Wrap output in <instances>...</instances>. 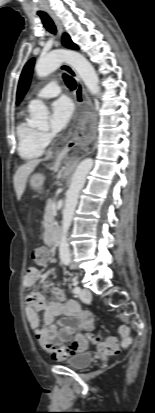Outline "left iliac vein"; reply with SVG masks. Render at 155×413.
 <instances>
[{"label":"left iliac vein","mask_w":155,"mask_h":413,"mask_svg":"<svg viewBox=\"0 0 155 413\" xmlns=\"http://www.w3.org/2000/svg\"><path fill=\"white\" fill-rule=\"evenodd\" d=\"M91 292L90 290L83 288L80 293H79V298L83 301V302H88L91 300Z\"/></svg>","instance_id":"4c4485c4"}]
</instances>
